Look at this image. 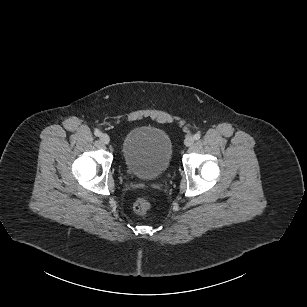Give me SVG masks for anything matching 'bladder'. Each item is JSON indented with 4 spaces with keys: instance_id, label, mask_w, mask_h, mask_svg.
Returning <instances> with one entry per match:
<instances>
[{
    "instance_id": "31cf9c89",
    "label": "bladder",
    "mask_w": 307,
    "mask_h": 307,
    "mask_svg": "<svg viewBox=\"0 0 307 307\" xmlns=\"http://www.w3.org/2000/svg\"><path fill=\"white\" fill-rule=\"evenodd\" d=\"M122 157L127 171L133 176L154 180L168 169L172 158V142L162 129L139 126L123 139Z\"/></svg>"
}]
</instances>
